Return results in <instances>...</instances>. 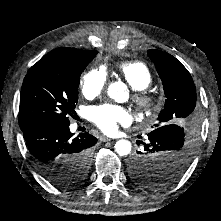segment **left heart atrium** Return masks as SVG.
<instances>
[{"mask_svg": "<svg viewBox=\"0 0 221 221\" xmlns=\"http://www.w3.org/2000/svg\"><path fill=\"white\" fill-rule=\"evenodd\" d=\"M89 117L105 133H113L120 124L130 121L129 112L124 107L111 104L91 108Z\"/></svg>", "mask_w": 221, "mask_h": 221, "instance_id": "1", "label": "left heart atrium"}]
</instances>
